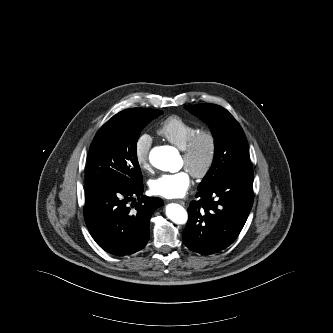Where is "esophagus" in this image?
Returning <instances> with one entry per match:
<instances>
[{
  "instance_id": "34e87169",
  "label": "esophagus",
  "mask_w": 333,
  "mask_h": 333,
  "mask_svg": "<svg viewBox=\"0 0 333 333\" xmlns=\"http://www.w3.org/2000/svg\"><path fill=\"white\" fill-rule=\"evenodd\" d=\"M175 202H176V203H178V204H180V205H182V206H184V205H185V202H184V201H182V200H175Z\"/></svg>"
}]
</instances>
